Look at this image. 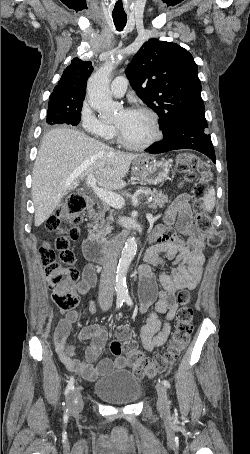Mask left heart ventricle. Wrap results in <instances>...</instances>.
<instances>
[{"instance_id": "left-heart-ventricle-1", "label": "left heart ventricle", "mask_w": 250, "mask_h": 454, "mask_svg": "<svg viewBox=\"0 0 250 454\" xmlns=\"http://www.w3.org/2000/svg\"><path fill=\"white\" fill-rule=\"evenodd\" d=\"M114 123L120 128L126 140L133 144H142L154 134L151 118L142 112L122 110Z\"/></svg>"}]
</instances>
